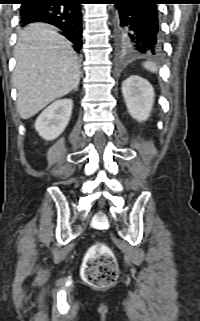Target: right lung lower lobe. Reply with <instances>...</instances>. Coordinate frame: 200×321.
I'll return each mask as SVG.
<instances>
[{
  "label": "right lung lower lobe",
  "mask_w": 200,
  "mask_h": 321,
  "mask_svg": "<svg viewBox=\"0 0 200 321\" xmlns=\"http://www.w3.org/2000/svg\"><path fill=\"white\" fill-rule=\"evenodd\" d=\"M83 0H23L20 24L44 22L61 29L77 52L82 46L80 4Z\"/></svg>",
  "instance_id": "98d812e1"
}]
</instances>
